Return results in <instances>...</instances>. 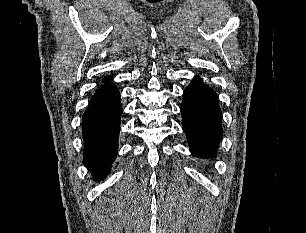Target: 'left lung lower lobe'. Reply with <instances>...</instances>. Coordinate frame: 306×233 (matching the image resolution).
<instances>
[{"instance_id":"obj_1","label":"left lung lower lobe","mask_w":306,"mask_h":233,"mask_svg":"<svg viewBox=\"0 0 306 233\" xmlns=\"http://www.w3.org/2000/svg\"><path fill=\"white\" fill-rule=\"evenodd\" d=\"M182 127L190 150L201 158H212L222 138L221 109L215 91L196 76L183 92Z\"/></svg>"}]
</instances>
